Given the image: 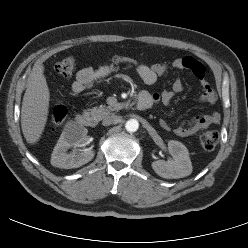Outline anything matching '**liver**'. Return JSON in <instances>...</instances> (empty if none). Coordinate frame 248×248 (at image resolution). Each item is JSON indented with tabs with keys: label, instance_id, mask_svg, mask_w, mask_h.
<instances>
[{
	"label": "liver",
	"instance_id": "obj_1",
	"mask_svg": "<svg viewBox=\"0 0 248 248\" xmlns=\"http://www.w3.org/2000/svg\"><path fill=\"white\" fill-rule=\"evenodd\" d=\"M43 73L40 66L31 76L22 102L21 128L29 144L39 141L48 118L50 93Z\"/></svg>",
	"mask_w": 248,
	"mask_h": 248
}]
</instances>
